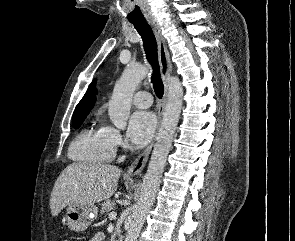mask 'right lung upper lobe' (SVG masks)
I'll list each match as a JSON object with an SVG mask.
<instances>
[{
    "instance_id": "right-lung-upper-lobe-1",
    "label": "right lung upper lobe",
    "mask_w": 295,
    "mask_h": 241,
    "mask_svg": "<svg viewBox=\"0 0 295 241\" xmlns=\"http://www.w3.org/2000/svg\"><path fill=\"white\" fill-rule=\"evenodd\" d=\"M94 88H95V81L91 83L87 92L83 96L82 100L78 103L74 111L73 117L82 115V114H88L89 111L92 109L96 99Z\"/></svg>"
}]
</instances>
